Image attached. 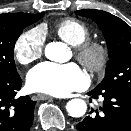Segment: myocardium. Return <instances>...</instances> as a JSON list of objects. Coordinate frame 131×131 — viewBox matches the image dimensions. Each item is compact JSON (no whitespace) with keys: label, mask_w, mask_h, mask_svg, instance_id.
<instances>
[{"label":"myocardium","mask_w":131,"mask_h":131,"mask_svg":"<svg viewBox=\"0 0 131 131\" xmlns=\"http://www.w3.org/2000/svg\"><path fill=\"white\" fill-rule=\"evenodd\" d=\"M77 60L90 72L101 73L109 63L110 52L105 43L86 40L74 47Z\"/></svg>","instance_id":"myocardium-1"}]
</instances>
